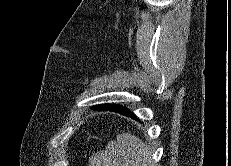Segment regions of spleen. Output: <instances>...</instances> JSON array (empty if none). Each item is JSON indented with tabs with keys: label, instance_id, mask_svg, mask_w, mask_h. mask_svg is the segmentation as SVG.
<instances>
[{
	"label": "spleen",
	"instance_id": "spleen-1",
	"mask_svg": "<svg viewBox=\"0 0 231 166\" xmlns=\"http://www.w3.org/2000/svg\"><path fill=\"white\" fill-rule=\"evenodd\" d=\"M92 166H156L144 142L131 133H120L105 151L92 156Z\"/></svg>",
	"mask_w": 231,
	"mask_h": 166
}]
</instances>
